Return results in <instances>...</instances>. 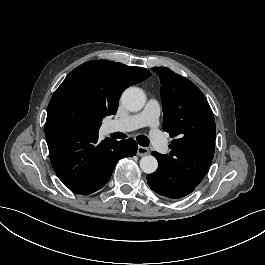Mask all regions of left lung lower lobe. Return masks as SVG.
<instances>
[{
	"label": "left lung lower lobe",
	"instance_id": "left-lung-lower-lobe-1",
	"mask_svg": "<svg viewBox=\"0 0 265 265\" xmlns=\"http://www.w3.org/2000/svg\"><path fill=\"white\" fill-rule=\"evenodd\" d=\"M152 155L158 160V169L147 176V182L154 192L171 199H179L193 192L198 186L181 172L162 161L155 152H152Z\"/></svg>",
	"mask_w": 265,
	"mask_h": 265
}]
</instances>
